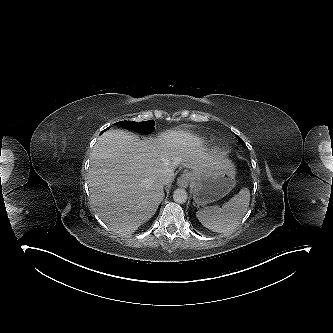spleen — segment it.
I'll return each mask as SVG.
<instances>
[{
	"label": "spleen",
	"instance_id": "spleen-1",
	"mask_svg": "<svg viewBox=\"0 0 333 333\" xmlns=\"http://www.w3.org/2000/svg\"><path fill=\"white\" fill-rule=\"evenodd\" d=\"M249 202L250 192L248 188H243L222 207H204L196 212V217L209 230L218 233L231 232L240 224L249 207Z\"/></svg>",
	"mask_w": 333,
	"mask_h": 333
}]
</instances>
